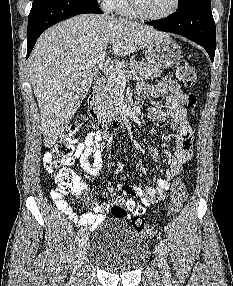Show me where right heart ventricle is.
<instances>
[{"label": "right heart ventricle", "mask_w": 233, "mask_h": 286, "mask_svg": "<svg viewBox=\"0 0 233 286\" xmlns=\"http://www.w3.org/2000/svg\"><path fill=\"white\" fill-rule=\"evenodd\" d=\"M113 10H115L118 14L123 16L135 15L129 6L128 0H117Z\"/></svg>", "instance_id": "obj_1"}]
</instances>
